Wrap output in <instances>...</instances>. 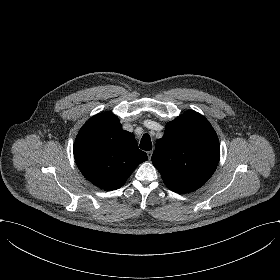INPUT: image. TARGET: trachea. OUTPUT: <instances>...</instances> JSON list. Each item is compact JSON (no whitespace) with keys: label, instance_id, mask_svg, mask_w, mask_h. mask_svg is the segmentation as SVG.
Returning a JSON list of instances; mask_svg holds the SVG:
<instances>
[{"label":"trachea","instance_id":"trachea-1","mask_svg":"<svg viewBox=\"0 0 280 280\" xmlns=\"http://www.w3.org/2000/svg\"><path fill=\"white\" fill-rule=\"evenodd\" d=\"M140 148L142 150H148V151L152 149V142L148 134L143 135L140 142Z\"/></svg>","mask_w":280,"mask_h":280}]
</instances>
